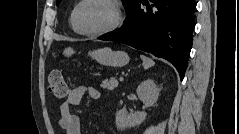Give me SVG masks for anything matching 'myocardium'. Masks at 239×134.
Listing matches in <instances>:
<instances>
[{
	"label": "myocardium",
	"instance_id": "obj_1",
	"mask_svg": "<svg viewBox=\"0 0 239 134\" xmlns=\"http://www.w3.org/2000/svg\"><path fill=\"white\" fill-rule=\"evenodd\" d=\"M88 1H92V0H83L80 1L74 11H73V15H72V25L74 27V29L76 30L77 33L84 35V36H89V37H98V36H103L106 35L108 33L113 32L114 30H116L122 23V13L121 10L119 8V6L117 5V3L113 0H100L103 1L105 3H107L113 10L114 12V20L111 23V25H109L107 28H104L102 30L99 31H85L83 30L78 23V16H79V12L81 7Z\"/></svg>",
	"mask_w": 239,
	"mask_h": 134
}]
</instances>
